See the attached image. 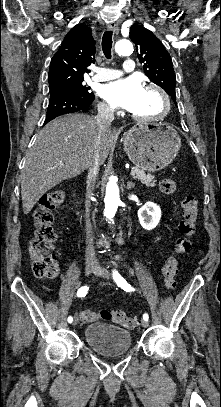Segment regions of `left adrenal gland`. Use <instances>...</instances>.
Segmentation results:
<instances>
[{
	"instance_id": "a2214340",
	"label": "left adrenal gland",
	"mask_w": 221,
	"mask_h": 407,
	"mask_svg": "<svg viewBox=\"0 0 221 407\" xmlns=\"http://www.w3.org/2000/svg\"><path fill=\"white\" fill-rule=\"evenodd\" d=\"M135 186V184L133 183V182H127V186H126V188L127 189H131V188H133Z\"/></svg>"
}]
</instances>
